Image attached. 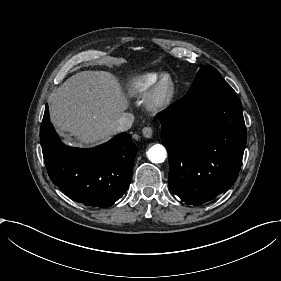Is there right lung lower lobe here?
<instances>
[{
	"label": "right lung lower lobe",
	"instance_id": "obj_1",
	"mask_svg": "<svg viewBox=\"0 0 281 281\" xmlns=\"http://www.w3.org/2000/svg\"><path fill=\"white\" fill-rule=\"evenodd\" d=\"M40 141L50 179L69 198L106 208L127 191L137 153L129 134L120 133L91 149L68 147L56 134L46 105Z\"/></svg>",
	"mask_w": 281,
	"mask_h": 281
}]
</instances>
